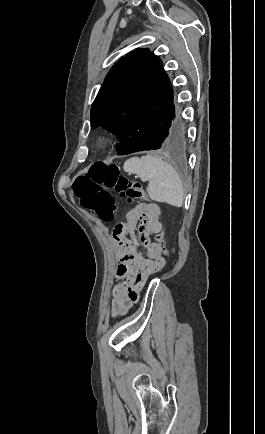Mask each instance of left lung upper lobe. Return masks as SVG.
I'll return each instance as SVG.
<instances>
[{"instance_id":"left-lung-upper-lobe-1","label":"left lung upper lobe","mask_w":265,"mask_h":434,"mask_svg":"<svg viewBox=\"0 0 265 434\" xmlns=\"http://www.w3.org/2000/svg\"><path fill=\"white\" fill-rule=\"evenodd\" d=\"M174 107L173 89L161 60L148 49L121 58L108 73L91 108V127L121 141L158 126Z\"/></svg>"}]
</instances>
